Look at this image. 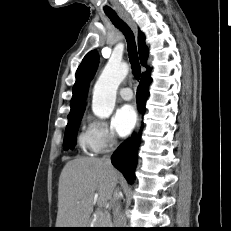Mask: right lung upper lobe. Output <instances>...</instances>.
I'll return each mask as SVG.
<instances>
[{"label":"right lung upper lobe","instance_id":"cb5924a9","mask_svg":"<svg viewBox=\"0 0 231 231\" xmlns=\"http://www.w3.org/2000/svg\"><path fill=\"white\" fill-rule=\"evenodd\" d=\"M138 49L140 62L143 66H146L147 61V46L145 44V36L139 30L138 33ZM97 55L96 51L89 52L82 60L79 65L75 77L76 82L73 86L72 92L73 96L71 99V111L68 117L76 116L82 114L85 109V99L87 97V90L89 86V73L93 63V59ZM147 67V66H146ZM150 76V68L147 67V71L142 74L141 79Z\"/></svg>","mask_w":231,"mask_h":231}]
</instances>
